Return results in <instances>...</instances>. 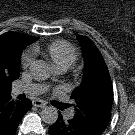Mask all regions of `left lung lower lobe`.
I'll list each match as a JSON object with an SVG mask.
<instances>
[{
  "label": "left lung lower lobe",
  "mask_w": 135,
  "mask_h": 135,
  "mask_svg": "<svg viewBox=\"0 0 135 135\" xmlns=\"http://www.w3.org/2000/svg\"><path fill=\"white\" fill-rule=\"evenodd\" d=\"M107 126V125H106ZM97 122L88 120L85 117L74 116L70 120H64L59 113L57 121L50 126V135H101L106 128Z\"/></svg>",
  "instance_id": "0a47b994"
}]
</instances>
